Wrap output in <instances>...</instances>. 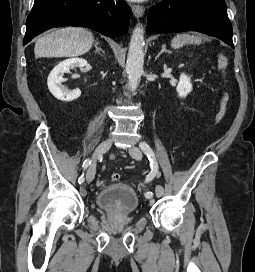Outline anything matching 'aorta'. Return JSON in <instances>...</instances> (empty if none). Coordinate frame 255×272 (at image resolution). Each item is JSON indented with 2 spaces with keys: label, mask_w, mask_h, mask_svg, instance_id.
Instances as JSON below:
<instances>
[{
  "label": "aorta",
  "mask_w": 255,
  "mask_h": 272,
  "mask_svg": "<svg viewBox=\"0 0 255 272\" xmlns=\"http://www.w3.org/2000/svg\"><path fill=\"white\" fill-rule=\"evenodd\" d=\"M144 44V30L136 26L131 36L126 63L128 85L132 91L137 89L143 74Z\"/></svg>",
  "instance_id": "1"
}]
</instances>
